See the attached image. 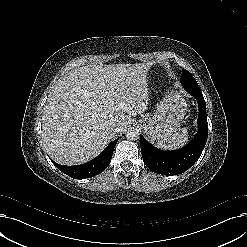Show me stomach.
I'll return each instance as SVG.
<instances>
[{
	"mask_svg": "<svg viewBox=\"0 0 247 247\" xmlns=\"http://www.w3.org/2000/svg\"><path fill=\"white\" fill-rule=\"evenodd\" d=\"M187 113V103L183 96L175 91L169 92L158 104L153 115H146L140 126L151 141L170 136Z\"/></svg>",
	"mask_w": 247,
	"mask_h": 247,
	"instance_id": "0dacf381",
	"label": "stomach"
}]
</instances>
